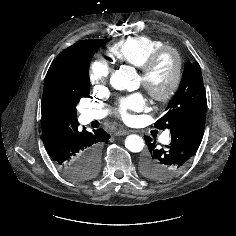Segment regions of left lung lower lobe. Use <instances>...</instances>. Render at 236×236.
I'll return each mask as SVG.
<instances>
[{"label": "left lung lower lobe", "instance_id": "obj_1", "mask_svg": "<svg viewBox=\"0 0 236 236\" xmlns=\"http://www.w3.org/2000/svg\"><path fill=\"white\" fill-rule=\"evenodd\" d=\"M206 113L190 115L171 129L172 141L159 148L156 141L144 136L148 152L140 164L141 173L153 181H167L177 176L190 163L201 143Z\"/></svg>", "mask_w": 236, "mask_h": 236}]
</instances>
